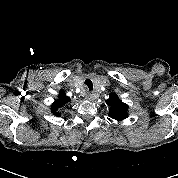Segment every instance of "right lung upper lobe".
I'll use <instances>...</instances> for the list:
<instances>
[{
    "mask_svg": "<svg viewBox=\"0 0 178 178\" xmlns=\"http://www.w3.org/2000/svg\"><path fill=\"white\" fill-rule=\"evenodd\" d=\"M70 101H71L70 98L66 96L63 90H61L59 92L58 99L55 100L54 103L52 104V107H51L52 113L56 116H61V113L57 112V110L63 107L64 105H66Z\"/></svg>",
    "mask_w": 178,
    "mask_h": 178,
    "instance_id": "right-lung-upper-lobe-1",
    "label": "right lung upper lobe"
}]
</instances>
